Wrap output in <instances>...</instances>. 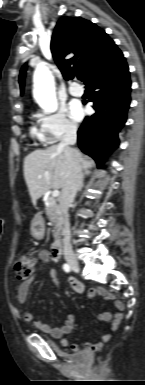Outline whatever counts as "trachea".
Listing matches in <instances>:
<instances>
[{
    "mask_svg": "<svg viewBox=\"0 0 145 385\" xmlns=\"http://www.w3.org/2000/svg\"><path fill=\"white\" fill-rule=\"evenodd\" d=\"M77 78L80 80L81 79V77L80 76H77Z\"/></svg>",
    "mask_w": 145,
    "mask_h": 385,
    "instance_id": "obj_1",
    "label": "trachea"
}]
</instances>
